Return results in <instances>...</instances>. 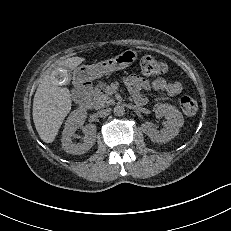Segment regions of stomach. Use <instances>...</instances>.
<instances>
[{"instance_id": "0dacf381", "label": "stomach", "mask_w": 231, "mask_h": 231, "mask_svg": "<svg viewBox=\"0 0 231 231\" xmlns=\"http://www.w3.org/2000/svg\"><path fill=\"white\" fill-rule=\"evenodd\" d=\"M137 56L138 54L135 50L128 49L114 58L92 65H82L75 70V75L79 81L95 80L105 74L129 67L137 60Z\"/></svg>"}]
</instances>
